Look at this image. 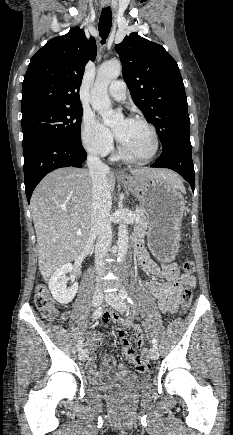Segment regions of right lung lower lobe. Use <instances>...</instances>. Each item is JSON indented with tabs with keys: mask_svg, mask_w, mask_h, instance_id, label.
<instances>
[{
	"mask_svg": "<svg viewBox=\"0 0 233 435\" xmlns=\"http://www.w3.org/2000/svg\"><path fill=\"white\" fill-rule=\"evenodd\" d=\"M24 151V182L28 202L31 195L49 172L61 167H81L86 152L80 144H71L55 139H43L26 146Z\"/></svg>",
	"mask_w": 233,
	"mask_h": 435,
	"instance_id": "right-lung-lower-lobe-1",
	"label": "right lung lower lobe"
}]
</instances>
